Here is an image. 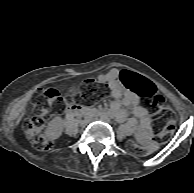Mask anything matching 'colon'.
<instances>
[{
  "label": "colon",
  "mask_w": 194,
  "mask_h": 193,
  "mask_svg": "<svg viewBox=\"0 0 194 193\" xmlns=\"http://www.w3.org/2000/svg\"><path fill=\"white\" fill-rule=\"evenodd\" d=\"M121 81L127 87L135 91L141 102L146 104L151 114L155 117L154 128L158 132V139H167L175 129V124L170 118L171 107L164 98L156 92L154 87L145 78L124 71ZM101 94V82L96 79H88L81 86V98L88 102H94ZM64 103L61 93L55 89H47L40 97L36 114L26 119L24 131L33 146L40 151L53 148L54 143L46 133L44 118L52 112L59 111ZM156 143L142 147L135 142H129V150L139 156H145L156 149Z\"/></svg>",
  "instance_id": "obj_1"
}]
</instances>
